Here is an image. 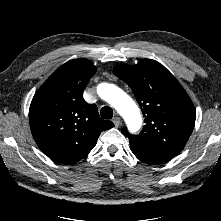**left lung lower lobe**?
<instances>
[{
  "instance_id": "obj_1",
  "label": "left lung lower lobe",
  "mask_w": 221,
  "mask_h": 221,
  "mask_svg": "<svg viewBox=\"0 0 221 221\" xmlns=\"http://www.w3.org/2000/svg\"><path fill=\"white\" fill-rule=\"evenodd\" d=\"M131 150L133 154L142 162L147 164L156 165L162 162L171 160L172 158L162 155L148 148L144 144L138 142L135 139L129 138Z\"/></svg>"
}]
</instances>
